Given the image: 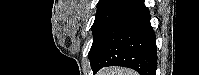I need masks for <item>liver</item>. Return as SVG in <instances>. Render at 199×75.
I'll use <instances>...</instances> for the list:
<instances>
[{
    "mask_svg": "<svg viewBox=\"0 0 199 75\" xmlns=\"http://www.w3.org/2000/svg\"><path fill=\"white\" fill-rule=\"evenodd\" d=\"M97 75H137V72L119 67H107L100 70Z\"/></svg>",
    "mask_w": 199,
    "mask_h": 75,
    "instance_id": "6515ba94",
    "label": "liver"
}]
</instances>
